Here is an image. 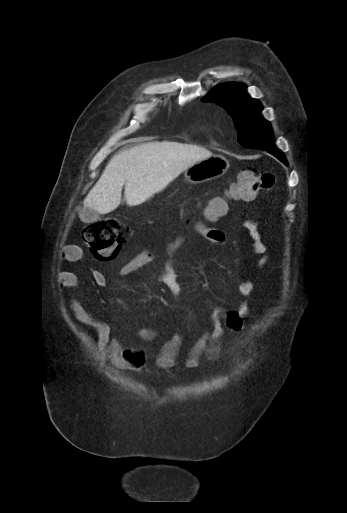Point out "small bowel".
Wrapping results in <instances>:
<instances>
[{
  "label": "small bowel",
  "mask_w": 347,
  "mask_h": 513,
  "mask_svg": "<svg viewBox=\"0 0 347 513\" xmlns=\"http://www.w3.org/2000/svg\"><path fill=\"white\" fill-rule=\"evenodd\" d=\"M243 226L250 238L252 251L262 255L259 266L263 268L269 261V255L266 243L260 234L258 222L255 219H247ZM194 236L214 245H223L226 242V234L223 230L205 225L196 226ZM186 240L185 236H180L167 246L166 259L159 273L161 282L175 296L182 294V288L173 270L174 254L182 248ZM80 255L81 249L78 246L67 247L63 250V258L66 261H73ZM153 259L154 256L149 250H143L122 266L120 275H131L152 262ZM92 279L100 287L107 284L105 275L100 271L92 273ZM57 283L61 288L71 291H76L79 287L76 276L69 271L59 272ZM236 291L241 297L236 307L209 306L208 327L188 350L184 363L187 369L198 368L202 357L217 360L224 334L226 332H239L243 329L244 319L250 314V306L246 298L254 294L255 286L249 279L242 278L236 284ZM70 309L79 323L94 330L96 334V353L100 360H109L118 368L130 371H138L145 366L147 357L142 346L124 347L119 339L112 338L110 325L93 317L75 297L71 300ZM135 336L143 342H153L158 338V330L149 327L142 328L136 331ZM181 344L182 335L177 332L174 333L156 355V367L160 370H169L175 367Z\"/></svg>",
  "instance_id": "1"
}]
</instances>
